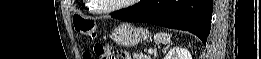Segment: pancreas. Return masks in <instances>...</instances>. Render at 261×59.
<instances>
[{
	"label": "pancreas",
	"instance_id": "cf45deb5",
	"mask_svg": "<svg viewBox=\"0 0 261 59\" xmlns=\"http://www.w3.org/2000/svg\"><path fill=\"white\" fill-rule=\"evenodd\" d=\"M134 59H151V57L142 52L134 54Z\"/></svg>",
	"mask_w": 261,
	"mask_h": 59
}]
</instances>
